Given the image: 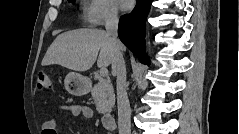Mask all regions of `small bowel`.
<instances>
[{
	"label": "small bowel",
	"instance_id": "small-bowel-1",
	"mask_svg": "<svg viewBox=\"0 0 239 134\" xmlns=\"http://www.w3.org/2000/svg\"><path fill=\"white\" fill-rule=\"evenodd\" d=\"M60 113H67L72 116H82L85 119H90L93 116L92 109L83 104L61 102L57 106ZM57 122L55 119H50L43 125V134H57Z\"/></svg>",
	"mask_w": 239,
	"mask_h": 134
}]
</instances>
